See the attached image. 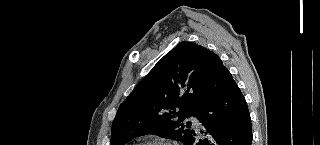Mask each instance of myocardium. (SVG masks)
Here are the masks:
<instances>
[{"label":"myocardium","mask_w":320,"mask_h":145,"mask_svg":"<svg viewBox=\"0 0 320 145\" xmlns=\"http://www.w3.org/2000/svg\"><path fill=\"white\" fill-rule=\"evenodd\" d=\"M141 145H172V144H170L169 142H165V141L154 140V141L144 142Z\"/></svg>","instance_id":"f54148a6"}]
</instances>
